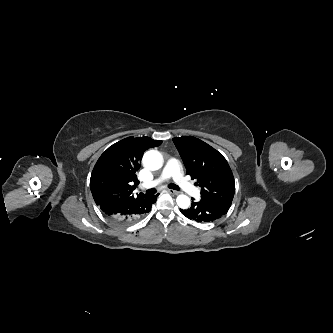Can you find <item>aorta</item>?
I'll list each match as a JSON object with an SVG mask.
<instances>
[{"mask_svg": "<svg viewBox=\"0 0 333 333\" xmlns=\"http://www.w3.org/2000/svg\"><path fill=\"white\" fill-rule=\"evenodd\" d=\"M143 164L150 170H158L163 164L162 155L155 150L148 151L143 156ZM176 202L181 209H187L190 206V198L186 195H179Z\"/></svg>", "mask_w": 333, "mask_h": 333, "instance_id": "obj_1", "label": "aorta"}]
</instances>
